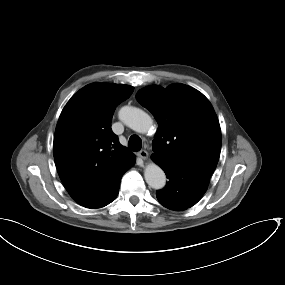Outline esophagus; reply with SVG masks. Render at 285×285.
<instances>
[{
	"mask_svg": "<svg viewBox=\"0 0 285 285\" xmlns=\"http://www.w3.org/2000/svg\"><path fill=\"white\" fill-rule=\"evenodd\" d=\"M137 155L143 160L148 159V152L146 150H140Z\"/></svg>",
	"mask_w": 285,
	"mask_h": 285,
	"instance_id": "esophagus-1",
	"label": "esophagus"
}]
</instances>
